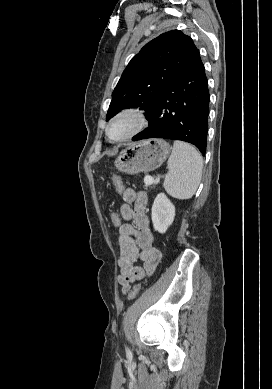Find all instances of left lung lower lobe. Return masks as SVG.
<instances>
[{
  "label": "left lung lower lobe",
  "instance_id": "0a47b994",
  "mask_svg": "<svg viewBox=\"0 0 272 389\" xmlns=\"http://www.w3.org/2000/svg\"><path fill=\"white\" fill-rule=\"evenodd\" d=\"M210 95L198 54L164 88L149 116V127L132 140L166 138L195 145L205 155Z\"/></svg>",
  "mask_w": 272,
  "mask_h": 389
}]
</instances>
